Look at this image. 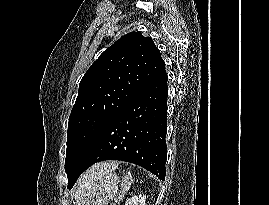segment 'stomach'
Masks as SVG:
<instances>
[{
  "instance_id": "0dacf381",
  "label": "stomach",
  "mask_w": 269,
  "mask_h": 205,
  "mask_svg": "<svg viewBox=\"0 0 269 205\" xmlns=\"http://www.w3.org/2000/svg\"><path fill=\"white\" fill-rule=\"evenodd\" d=\"M120 179L114 172L105 174L86 191L78 196L76 205H108L113 199H119L124 193L119 190Z\"/></svg>"
}]
</instances>
